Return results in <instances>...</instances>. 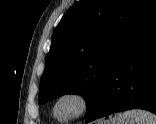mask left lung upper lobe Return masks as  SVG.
<instances>
[{"instance_id": "left-lung-upper-lobe-1", "label": "left lung upper lobe", "mask_w": 156, "mask_h": 124, "mask_svg": "<svg viewBox=\"0 0 156 124\" xmlns=\"http://www.w3.org/2000/svg\"><path fill=\"white\" fill-rule=\"evenodd\" d=\"M155 10L156 0L75 3L52 35L38 103L62 94H81L87 116L127 44Z\"/></svg>"}]
</instances>
